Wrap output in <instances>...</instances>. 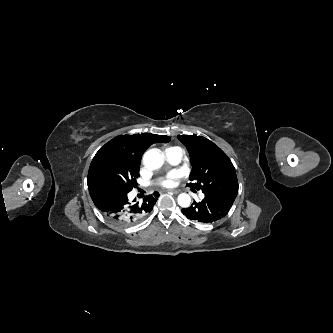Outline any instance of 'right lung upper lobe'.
Instances as JSON below:
<instances>
[{
  "label": "right lung upper lobe",
  "instance_id": "obj_1",
  "mask_svg": "<svg viewBox=\"0 0 333 333\" xmlns=\"http://www.w3.org/2000/svg\"><path fill=\"white\" fill-rule=\"evenodd\" d=\"M170 141L168 136L154 135L148 133L135 134V135H120L108 143H106L100 150H112L123 156L127 157L130 161L139 164L142 154L153 143Z\"/></svg>",
  "mask_w": 333,
  "mask_h": 333
}]
</instances>
